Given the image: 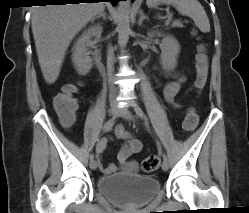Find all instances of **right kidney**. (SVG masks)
Wrapping results in <instances>:
<instances>
[{
  "instance_id": "right-kidney-1",
  "label": "right kidney",
  "mask_w": 249,
  "mask_h": 213,
  "mask_svg": "<svg viewBox=\"0 0 249 213\" xmlns=\"http://www.w3.org/2000/svg\"><path fill=\"white\" fill-rule=\"evenodd\" d=\"M102 26L94 25L88 28L76 41L73 47L72 61L77 72L86 75L92 68V59L87 55L86 43L91 37H100Z\"/></svg>"
}]
</instances>
